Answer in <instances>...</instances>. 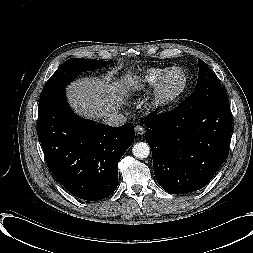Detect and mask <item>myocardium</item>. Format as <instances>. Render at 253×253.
I'll return each instance as SVG.
<instances>
[{
    "label": "myocardium",
    "instance_id": "1",
    "mask_svg": "<svg viewBox=\"0 0 253 253\" xmlns=\"http://www.w3.org/2000/svg\"><path fill=\"white\" fill-rule=\"evenodd\" d=\"M173 72H180L182 74V84L173 93L167 94L164 92V83L168 76ZM188 86V77L186 72L181 67H171L166 70L158 79L152 91V107L158 111H164L172 107L183 95Z\"/></svg>",
    "mask_w": 253,
    "mask_h": 253
}]
</instances>
